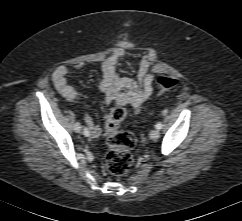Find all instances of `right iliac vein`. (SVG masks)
<instances>
[{"label":"right iliac vein","instance_id":"obj_1","mask_svg":"<svg viewBox=\"0 0 242 221\" xmlns=\"http://www.w3.org/2000/svg\"><path fill=\"white\" fill-rule=\"evenodd\" d=\"M74 130H75L76 132H80V130H81V125H80L79 123H75V125H74Z\"/></svg>","mask_w":242,"mask_h":221}]
</instances>
